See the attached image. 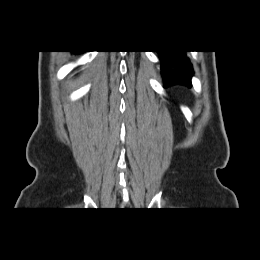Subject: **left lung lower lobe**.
<instances>
[{"instance_id": "0a47b994", "label": "left lung lower lobe", "mask_w": 260, "mask_h": 260, "mask_svg": "<svg viewBox=\"0 0 260 260\" xmlns=\"http://www.w3.org/2000/svg\"><path fill=\"white\" fill-rule=\"evenodd\" d=\"M185 52L180 50L158 51L159 57L163 62L162 73L165 87L175 84L191 87L193 69Z\"/></svg>"}]
</instances>
